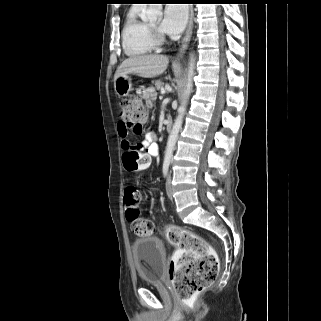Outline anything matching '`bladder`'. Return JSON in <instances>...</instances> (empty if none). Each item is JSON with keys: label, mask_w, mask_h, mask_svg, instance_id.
Wrapping results in <instances>:
<instances>
[{"label": "bladder", "mask_w": 321, "mask_h": 321, "mask_svg": "<svg viewBox=\"0 0 321 321\" xmlns=\"http://www.w3.org/2000/svg\"><path fill=\"white\" fill-rule=\"evenodd\" d=\"M132 253L137 273L142 282L160 283L164 276L166 251L156 237H142L132 243Z\"/></svg>", "instance_id": "bladder-1"}]
</instances>
